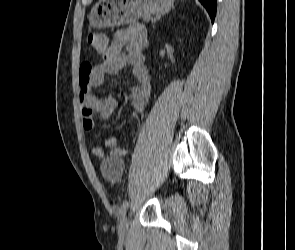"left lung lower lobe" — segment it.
<instances>
[{"label": "left lung lower lobe", "mask_w": 295, "mask_h": 250, "mask_svg": "<svg viewBox=\"0 0 295 250\" xmlns=\"http://www.w3.org/2000/svg\"><path fill=\"white\" fill-rule=\"evenodd\" d=\"M202 5L206 8L208 11L210 18L212 22L214 21L215 15H216V3L217 0H199Z\"/></svg>", "instance_id": "obj_1"}]
</instances>
